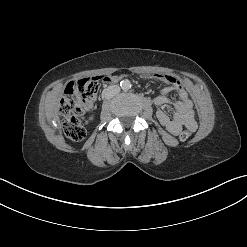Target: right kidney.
<instances>
[{
    "instance_id": "obj_1",
    "label": "right kidney",
    "mask_w": 247,
    "mask_h": 247,
    "mask_svg": "<svg viewBox=\"0 0 247 247\" xmlns=\"http://www.w3.org/2000/svg\"><path fill=\"white\" fill-rule=\"evenodd\" d=\"M93 119H94V116L93 115L89 117V120H93Z\"/></svg>"
}]
</instances>
